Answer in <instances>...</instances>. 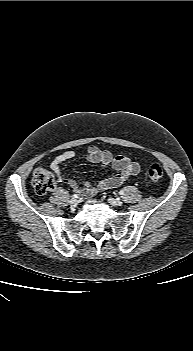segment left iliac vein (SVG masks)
<instances>
[{
    "label": "left iliac vein",
    "instance_id": "left-iliac-vein-1",
    "mask_svg": "<svg viewBox=\"0 0 193 351\" xmlns=\"http://www.w3.org/2000/svg\"><path fill=\"white\" fill-rule=\"evenodd\" d=\"M108 202L111 204V205H122V201L119 200V199H115V198H112V197H109L108 198Z\"/></svg>",
    "mask_w": 193,
    "mask_h": 351
}]
</instances>
